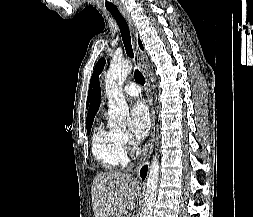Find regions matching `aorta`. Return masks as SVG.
<instances>
[{"mask_svg":"<svg viewBox=\"0 0 253 217\" xmlns=\"http://www.w3.org/2000/svg\"><path fill=\"white\" fill-rule=\"evenodd\" d=\"M132 68V63L128 60L112 62L106 74L105 89L108 97L109 121L116 127L126 126L129 119V107L123 95L122 86ZM159 168V156L155 153L149 166L144 205L140 217H152L157 197Z\"/></svg>","mask_w":253,"mask_h":217,"instance_id":"aorta-1","label":"aorta"}]
</instances>
